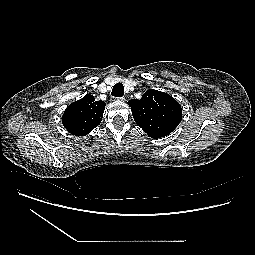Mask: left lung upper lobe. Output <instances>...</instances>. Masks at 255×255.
I'll return each instance as SVG.
<instances>
[{
  "label": "left lung upper lobe",
  "instance_id": "1",
  "mask_svg": "<svg viewBox=\"0 0 255 255\" xmlns=\"http://www.w3.org/2000/svg\"><path fill=\"white\" fill-rule=\"evenodd\" d=\"M137 125L151 138L169 135L182 120L181 105L169 94L147 90L141 99L128 101Z\"/></svg>",
  "mask_w": 255,
  "mask_h": 255
}]
</instances>
